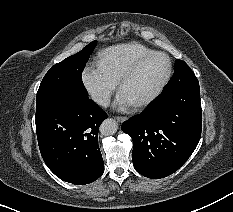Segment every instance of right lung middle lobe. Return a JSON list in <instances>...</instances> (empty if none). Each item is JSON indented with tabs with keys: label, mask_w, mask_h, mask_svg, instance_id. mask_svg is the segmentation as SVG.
I'll use <instances>...</instances> for the list:
<instances>
[{
	"label": "right lung middle lobe",
	"mask_w": 233,
	"mask_h": 212,
	"mask_svg": "<svg viewBox=\"0 0 233 212\" xmlns=\"http://www.w3.org/2000/svg\"><path fill=\"white\" fill-rule=\"evenodd\" d=\"M95 46L96 41H93L80 52L49 69L37 92L36 116L45 112L66 93H87L82 82V72Z\"/></svg>",
	"instance_id": "1"
}]
</instances>
